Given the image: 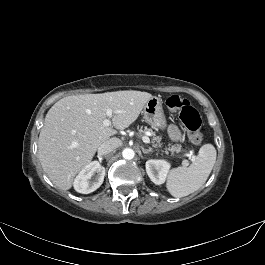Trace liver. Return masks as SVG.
<instances>
[{"label":"liver","instance_id":"1","mask_svg":"<svg viewBox=\"0 0 265 265\" xmlns=\"http://www.w3.org/2000/svg\"><path fill=\"white\" fill-rule=\"evenodd\" d=\"M153 96L141 91L67 96L48 111L38 141V157L51 181L62 190L93 159L99 146L138 118ZM111 109L112 127L105 126Z\"/></svg>","mask_w":265,"mask_h":265}]
</instances>
